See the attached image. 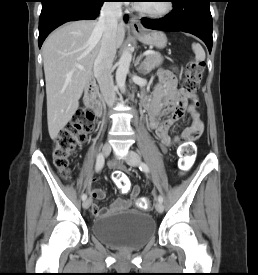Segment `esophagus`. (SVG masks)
<instances>
[{
    "label": "esophagus",
    "mask_w": 258,
    "mask_h": 275,
    "mask_svg": "<svg viewBox=\"0 0 258 275\" xmlns=\"http://www.w3.org/2000/svg\"><path fill=\"white\" fill-rule=\"evenodd\" d=\"M130 27L135 32L142 30V26L140 24V21L138 20V18L136 16H132L131 17V19H130Z\"/></svg>",
    "instance_id": "34e87169"
}]
</instances>
